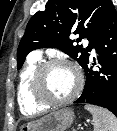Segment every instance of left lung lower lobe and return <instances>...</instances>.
Segmentation results:
<instances>
[{"label": "left lung lower lobe", "instance_id": "0a47b994", "mask_svg": "<svg viewBox=\"0 0 117 131\" xmlns=\"http://www.w3.org/2000/svg\"><path fill=\"white\" fill-rule=\"evenodd\" d=\"M96 62L85 65L86 82L82 95L74 103H88L111 111L117 116V12L110 6L95 46ZM95 61V58H94Z\"/></svg>", "mask_w": 117, "mask_h": 131}]
</instances>
